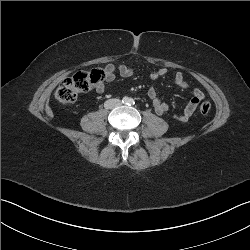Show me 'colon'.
<instances>
[{"mask_svg": "<svg viewBox=\"0 0 250 250\" xmlns=\"http://www.w3.org/2000/svg\"><path fill=\"white\" fill-rule=\"evenodd\" d=\"M103 80L104 73L99 69L77 72L60 83L56 89L55 97L61 104H72L76 101L79 93L91 90ZM210 110L211 104L209 102H203L200 105V112L202 114H208Z\"/></svg>", "mask_w": 250, "mask_h": 250, "instance_id": "colon-1", "label": "colon"}]
</instances>
